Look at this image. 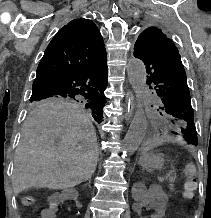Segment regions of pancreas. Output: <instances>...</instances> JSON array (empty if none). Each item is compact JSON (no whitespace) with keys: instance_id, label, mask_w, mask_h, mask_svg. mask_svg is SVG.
Here are the masks:
<instances>
[{"instance_id":"cf45deb5","label":"pancreas","mask_w":211,"mask_h":218,"mask_svg":"<svg viewBox=\"0 0 211 218\" xmlns=\"http://www.w3.org/2000/svg\"><path fill=\"white\" fill-rule=\"evenodd\" d=\"M170 182H174V180H170ZM170 190H174V184H170Z\"/></svg>"}]
</instances>
